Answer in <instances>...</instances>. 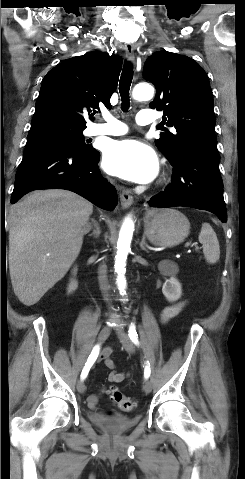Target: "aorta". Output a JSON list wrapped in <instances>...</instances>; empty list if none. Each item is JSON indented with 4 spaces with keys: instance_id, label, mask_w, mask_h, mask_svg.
<instances>
[{
    "instance_id": "762f6f07",
    "label": "aorta",
    "mask_w": 245,
    "mask_h": 479,
    "mask_svg": "<svg viewBox=\"0 0 245 479\" xmlns=\"http://www.w3.org/2000/svg\"><path fill=\"white\" fill-rule=\"evenodd\" d=\"M133 98L135 100L143 101L150 100L154 95V89L148 84H138L133 89ZM134 231V223L130 216H128L121 227L119 238L117 242V254L115 257V271L117 272V286L121 294L125 292L126 279H125V266L127 255L130 250V244Z\"/></svg>"
}]
</instances>
